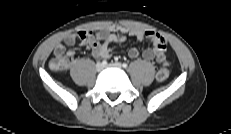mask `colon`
<instances>
[{
    "label": "colon",
    "mask_w": 231,
    "mask_h": 134,
    "mask_svg": "<svg viewBox=\"0 0 231 134\" xmlns=\"http://www.w3.org/2000/svg\"><path fill=\"white\" fill-rule=\"evenodd\" d=\"M69 66V60L66 57H54L50 61V67L54 70H64ZM170 74L168 63L165 62L156 74L158 81L162 82L168 79Z\"/></svg>",
    "instance_id": "1"
}]
</instances>
